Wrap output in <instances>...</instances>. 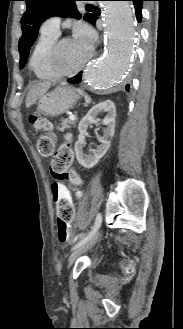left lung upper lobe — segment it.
<instances>
[{"label":"left lung upper lobe","mask_w":183,"mask_h":329,"mask_svg":"<svg viewBox=\"0 0 183 329\" xmlns=\"http://www.w3.org/2000/svg\"><path fill=\"white\" fill-rule=\"evenodd\" d=\"M26 2L27 10L21 18L22 37L19 40L20 68L24 67L29 50L34 43L39 26L51 16L65 17L68 14L76 19L81 18L78 12L76 0H23ZM95 16L91 13L84 15L83 19L94 23Z\"/></svg>","instance_id":"1"}]
</instances>
